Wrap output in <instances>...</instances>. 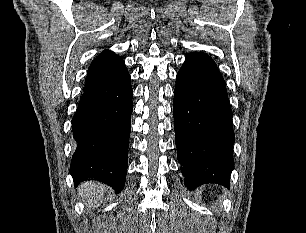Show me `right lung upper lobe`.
<instances>
[{"label": "right lung upper lobe", "mask_w": 306, "mask_h": 233, "mask_svg": "<svg viewBox=\"0 0 306 233\" xmlns=\"http://www.w3.org/2000/svg\"><path fill=\"white\" fill-rule=\"evenodd\" d=\"M125 69V63L120 56L111 51H103L90 64L84 90L112 80Z\"/></svg>", "instance_id": "1"}]
</instances>
